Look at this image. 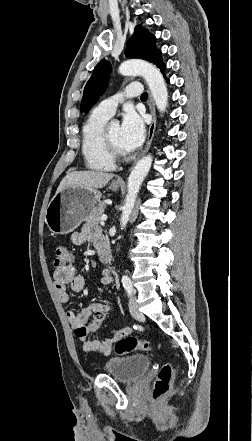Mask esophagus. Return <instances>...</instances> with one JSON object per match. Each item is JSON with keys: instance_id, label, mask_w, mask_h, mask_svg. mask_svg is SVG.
Returning a JSON list of instances; mask_svg holds the SVG:
<instances>
[{"instance_id": "34e87169", "label": "esophagus", "mask_w": 252, "mask_h": 441, "mask_svg": "<svg viewBox=\"0 0 252 441\" xmlns=\"http://www.w3.org/2000/svg\"><path fill=\"white\" fill-rule=\"evenodd\" d=\"M148 106H149V110H150V113H151V116H152V120H151L149 129H148L147 142H146L145 148L142 151L140 157L142 155H144L149 150L150 145L152 143V139H153L154 133H155V129H156V111H155L154 101H153V98H152L150 93H149ZM117 181L120 182V183L124 182L122 178L117 179Z\"/></svg>"}]
</instances>
